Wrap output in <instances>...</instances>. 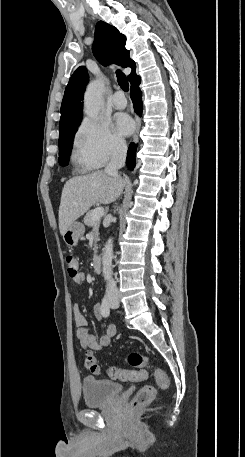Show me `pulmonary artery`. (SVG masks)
<instances>
[{"instance_id": "pulmonary-artery-1", "label": "pulmonary artery", "mask_w": 245, "mask_h": 457, "mask_svg": "<svg viewBox=\"0 0 245 457\" xmlns=\"http://www.w3.org/2000/svg\"><path fill=\"white\" fill-rule=\"evenodd\" d=\"M112 102L115 108L117 109H123L126 107L127 101L126 98L124 97L123 93L118 91L116 92L113 97H112Z\"/></svg>"}]
</instances>
